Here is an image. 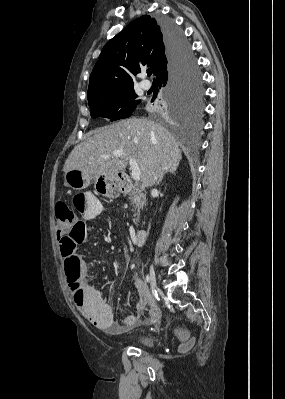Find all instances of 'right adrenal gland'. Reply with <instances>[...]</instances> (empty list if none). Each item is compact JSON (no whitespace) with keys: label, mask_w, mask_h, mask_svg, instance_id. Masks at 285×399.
<instances>
[{"label":"right adrenal gland","mask_w":285,"mask_h":399,"mask_svg":"<svg viewBox=\"0 0 285 399\" xmlns=\"http://www.w3.org/2000/svg\"><path fill=\"white\" fill-rule=\"evenodd\" d=\"M176 170H177V167L173 166V167H170L169 169H167L165 171V173L175 174ZM162 179H163V175L160 176V178L158 180V184L162 181Z\"/></svg>","instance_id":"2a0ac1e0"}]
</instances>
